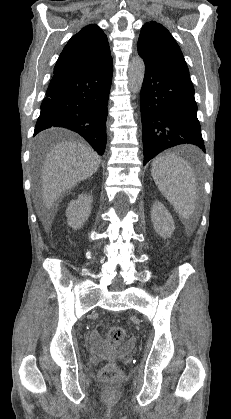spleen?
<instances>
[{"instance_id": "1", "label": "spleen", "mask_w": 231, "mask_h": 419, "mask_svg": "<svg viewBox=\"0 0 231 419\" xmlns=\"http://www.w3.org/2000/svg\"><path fill=\"white\" fill-rule=\"evenodd\" d=\"M151 175L179 216L190 219L197 198L196 177L190 165L175 154H161L151 164Z\"/></svg>"}]
</instances>
